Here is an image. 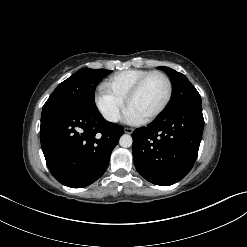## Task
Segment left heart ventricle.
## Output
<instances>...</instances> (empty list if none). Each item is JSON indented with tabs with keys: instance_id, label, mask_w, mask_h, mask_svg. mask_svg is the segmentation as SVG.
<instances>
[{
	"instance_id": "obj_1",
	"label": "left heart ventricle",
	"mask_w": 247,
	"mask_h": 247,
	"mask_svg": "<svg viewBox=\"0 0 247 247\" xmlns=\"http://www.w3.org/2000/svg\"><path fill=\"white\" fill-rule=\"evenodd\" d=\"M167 95V83L162 76L154 75L143 85L140 92L129 105L141 119L157 110L164 102Z\"/></svg>"
}]
</instances>
